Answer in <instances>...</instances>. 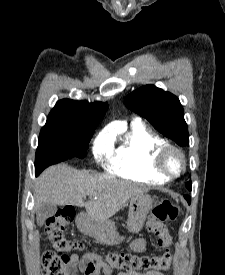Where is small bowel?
<instances>
[{"label":"small bowel","mask_w":225,"mask_h":275,"mask_svg":"<svg viewBox=\"0 0 225 275\" xmlns=\"http://www.w3.org/2000/svg\"><path fill=\"white\" fill-rule=\"evenodd\" d=\"M147 246V240L145 238H137L131 244V248L134 252H142ZM73 262L80 264L81 271L85 275H164L162 272L151 271V272H135L125 271L114 273L113 269L107 265L103 257L94 252H86L82 255L73 253L70 256ZM90 269V270H89Z\"/></svg>","instance_id":"small-bowel-1"}]
</instances>
